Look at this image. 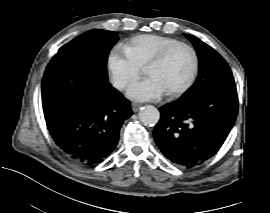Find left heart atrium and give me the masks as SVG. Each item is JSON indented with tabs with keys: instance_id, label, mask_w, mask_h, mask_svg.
I'll return each instance as SVG.
<instances>
[{
	"instance_id": "39dd6f15",
	"label": "left heart atrium",
	"mask_w": 270,
	"mask_h": 213,
	"mask_svg": "<svg viewBox=\"0 0 270 213\" xmlns=\"http://www.w3.org/2000/svg\"><path fill=\"white\" fill-rule=\"evenodd\" d=\"M164 93V88L159 80L153 76L135 84L128 91V96L138 101H154Z\"/></svg>"
}]
</instances>
